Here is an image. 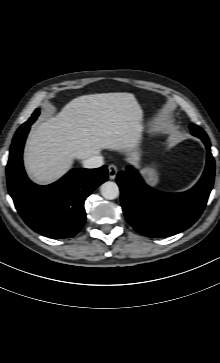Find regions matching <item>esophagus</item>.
Masks as SVG:
<instances>
[{
  "label": "esophagus",
  "mask_w": 220,
  "mask_h": 363,
  "mask_svg": "<svg viewBox=\"0 0 220 363\" xmlns=\"http://www.w3.org/2000/svg\"><path fill=\"white\" fill-rule=\"evenodd\" d=\"M108 175L111 180L116 178L117 175V167L113 164L108 166Z\"/></svg>",
  "instance_id": "34e87169"
}]
</instances>
